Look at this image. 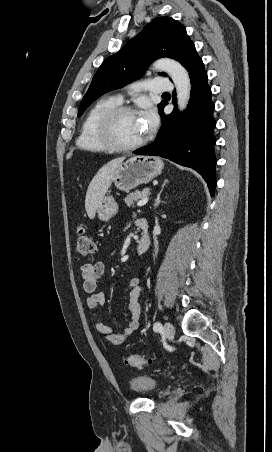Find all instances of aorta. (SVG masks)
<instances>
[{"mask_svg": "<svg viewBox=\"0 0 272 452\" xmlns=\"http://www.w3.org/2000/svg\"><path fill=\"white\" fill-rule=\"evenodd\" d=\"M153 66L170 75L176 87L178 108L183 111L188 104L191 91L190 78L186 69L179 62L168 58L157 60Z\"/></svg>", "mask_w": 272, "mask_h": 452, "instance_id": "1", "label": "aorta"}]
</instances>
